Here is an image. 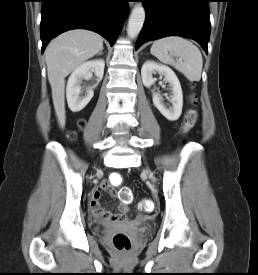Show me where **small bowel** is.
Masks as SVG:
<instances>
[{"instance_id":"obj_1","label":"small bowel","mask_w":258,"mask_h":275,"mask_svg":"<svg viewBox=\"0 0 258 275\" xmlns=\"http://www.w3.org/2000/svg\"><path fill=\"white\" fill-rule=\"evenodd\" d=\"M109 189H111V184H109L108 182H101L91 196V199L89 202V208L95 216L103 217L107 220H115L116 218L128 212V206H127V202L121 200V204L119 206V213L117 214L109 212L105 209H102L99 204L101 192L103 190H109Z\"/></svg>"}]
</instances>
